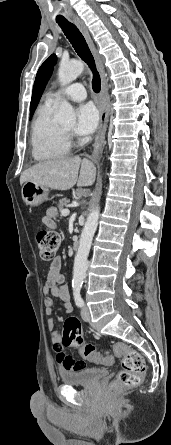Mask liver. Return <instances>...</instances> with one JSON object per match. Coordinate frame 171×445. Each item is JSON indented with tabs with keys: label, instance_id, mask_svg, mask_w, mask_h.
Listing matches in <instances>:
<instances>
[{
	"label": "liver",
	"instance_id": "1",
	"mask_svg": "<svg viewBox=\"0 0 171 445\" xmlns=\"http://www.w3.org/2000/svg\"><path fill=\"white\" fill-rule=\"evenodd\" d=\"M95 177L94 165L88 159L81 160L79 156H75L44 161L30 167L21 174L20 184L30 181L64 191L75 184L78 187L91 186L95 182Z\"/></svg>",
	"mask_w": 171,
	"mask_h": 445
}]
</instances>
